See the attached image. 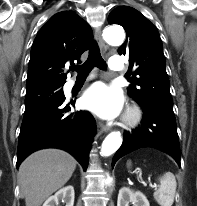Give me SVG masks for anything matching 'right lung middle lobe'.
I'll use <instances>...</instances> for the list:
<instances>
[{
  "label": "right lung middle lobe",
  "instance_id": "1",
  "mask_svg": "<svg viewBox=\"0 0 197 206\" xmlns=\"http://www.w3.org/2000/svg\"><path fill=\"white\" fill-rule=\"evenodd\" d=\"M64 98L62 87H41L27 89L25 96V112L33 110L46 103Z\"/></svg>",
  "mask_w": 197,
  "mask_h": 206
}]
</instances>
